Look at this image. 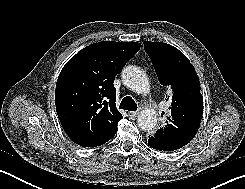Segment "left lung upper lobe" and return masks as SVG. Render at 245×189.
<instances>
[{
    "instance_id": "obj_1",
    "label": "left lung upper lobe",
    "mask_w": 245,
    "mask_h": 189,
    "mask_svg": "<svg viewBox=\"0 0 245 189\" xmlns=\"http://www.w3.org/2000/svg\"><path fill=\"white\" fill-rule=\"evenodd\" d=\"M144 49L160 84L172 90L171 115L152 137L170 150H177L189 143L198 131L203 111L200 81L189 59L177 48L146 41Z\"/></svg>"
}]
</instances>
